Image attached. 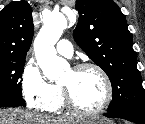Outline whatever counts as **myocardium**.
Wrapping results in <instances>:
<instances>
[{
    "label": "myocardium",
    "mask_w": 145,
    "mask_h": 124,
    "mask_svg": "<svg viewBox=\"0 0 145 124\" xmlns=\"http://www.w3.org/2000/svg\"><path fill=\"white\" fill-rule=\"evenodd\" d=\"M87 69H93L96 72H98L105 85V98L97 108L88 110L80 107L75 102L70 90L65 85L60 83L59 87L61 89L65 105L69 108L70 111L78 115L95 116L102 113L111 104L113 99V85L107 72L98 64L91 63V62H84V63H79L72 68L74 72H80Z\"/></svg>",
    "instance_id": "myocardium-1"
}]
</instances>
